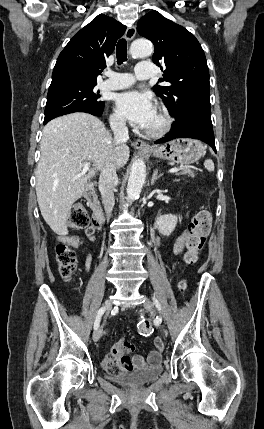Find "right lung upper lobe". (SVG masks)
Returning a JSON list of instances; mask_svg holds the SVG:
<instances>
[{
    "instance_id": "obj_1",
    "label": "right lung upper lobe",
    "mask_w": 264,
    "mask_h": 429,
    "mask_svg": "<svg viewBox=\"0 0 264 429\" xmlns=\"http://www.w3.org/2000/svg\"><path fill=\"white\" fill-rule=\"evenodd\" d=\"M126 27L106 15H98L76 33L55 64L49 89L69 84H97L106 58Z\"/></svg>"
}]
</instances>
